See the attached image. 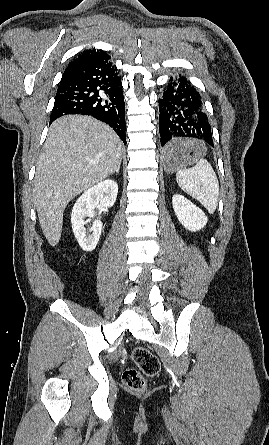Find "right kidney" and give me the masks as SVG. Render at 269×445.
Listing matches in <instances>:
<instances>
[{
    "mask_svg": "<svg viewBox=\"0 0 269 445\" xmlns=\"http://www.w3.org/2000/svg\"><path fill=\"white\" fill-rule=\"evenodd\" d=\"M117 193L116 181L104 180L86 190L74 204L71 213L72 230L84 251L91 252L96 248L102 232L101 221L95 220L88 232L84 219L93 217L96 207L103 211L112 207L116 201Z\"/></svg>",
    "mask_w": 269,
    "mask_h": 445,
    "instance_id": "ca27d5eb",
    "label": "right kidney"
}]
</instances>
